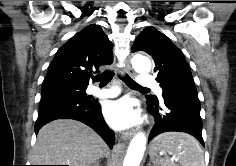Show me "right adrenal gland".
Returning <instances> with one entry per match:
<instances>
[{"mask_svg": "<svg viewBox=\"0 0 236 166\" xmlns=\"http://www.w3.org/2000/svg\"><path fill=\"white\" fill-rule=\"evenodd\" d=\"M93 166H99V162H96Z\"/></svg>", "mask_w": 236, "mask_h": 166, "instance_id": "1", "label": "right adrenal gland"}]
</instances>
